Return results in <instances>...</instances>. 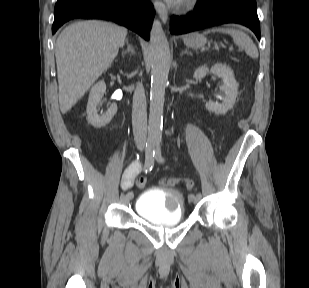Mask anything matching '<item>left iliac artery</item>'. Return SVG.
<instances>
[{
    "instance_id": "1",
    "label": "left iliac artery",
    "mask_w": 309,
    "mask_h": 288,
    "mask_svg": "<svg viewBox=\"0 0 309 288\" xmlns=\"http://www.w3.org/2000/svg\"><path fill=\"white\" fill-rule=\"evenodd\" d=\"M160 144H161V139L157 138L156 139V149H155V159L157 161H159V162H162L163 161V157H162V154H161ZM190 195L193 196V197H197L199 199H201V197H202L201 193H198L196 196L194 194H190Z\"/></svg>"
}]
</instances>
